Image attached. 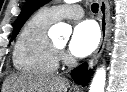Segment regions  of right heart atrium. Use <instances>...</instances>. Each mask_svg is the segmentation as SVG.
Instances as JSON below:
<instances>
[{"instance_id": "d8ad5b80", "label": "right heart atrium", "mask_w": 127, "mask_h": 92, "mask_svg": "<svg viewBox=\"0 0 127 92\" xmlns=\"http://www.w3.org/2000/svg\"><path fill=\"white\" fill-rule=\"evenodd\" d=\"M59 57L63 62H66L68 59L67 55L63 51L60 52Z\"/></svg>"}]
</instances>
